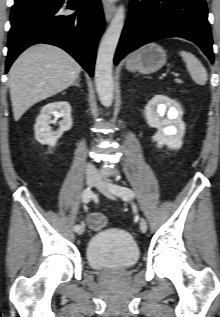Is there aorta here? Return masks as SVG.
Masks as SVG:
<instances>
[{
	"label": "aorta",
	"mask_w": 220,
	"mask_h": 317,
	"mask_svg": "<svg viewBox=\"0 0 220 317\" xmlns=\"http://www.w3.org/2000/svg\"><path fill=\"white\" fill-rule=\"evenodd\" d=\"M124 20V7L120 6L103 35L97 52L95 84L99 99L106 107L110 106L113 101V58L124 26Z\"/></svg>",
	"instance_id": "aorta-1"
}]
</instances>
